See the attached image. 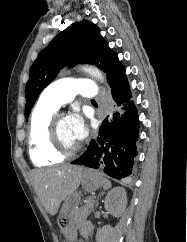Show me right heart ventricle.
I'll list each match as a JSON object with an SVG mask.
<instances>
[{"instance_id":"e07e8e85","label":"right heart ventricle","mask_w":187,"mask_h":242,"mask_svg":"<svg viewBox=\"0 0 187 242\" xmlns=\"http://www.w3.org/2000/svg\"><path fill=\"white\" fill-rule=\"evenodd\" d=\"M56 111L39 101L32 112L28 140L29 155L37 166H49L63 161L62 157L50 150L47 142V127Z\"/></svg>"}]
</instances>
